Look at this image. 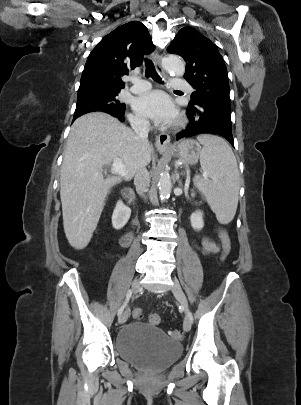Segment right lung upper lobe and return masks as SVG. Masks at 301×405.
<instances>
[{
    "label": "right lung upper lobe",
    "instance_id": "right-lung-upper-lobe-1",
    "mask_svg": "<svg viewBox=\"0 0 301 405\" xmlns=\"http://www.w3.org/2000/svg\"><path fill=\"white\" fill-rule=\"evenodd\" d=\"M155 49L145 25L133 21L106 35L85 64L78 92L90 89L121 90V77L140 65L144 54Z\"/></svg>",
    "mask_w": 301,
    "mask_h": 405
}]
</instances>
